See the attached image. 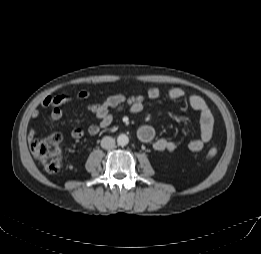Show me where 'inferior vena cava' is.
Returning a JSON list of instances; mask_svg holds the SVG:
<instances>
[{"label": "inferior vena cava", "instance_id": "602c4592", "mask_svg": "<svg viewBox=\"0 0 261 254\" xmlns=\"http://www.w3.org/2000/svg\"><path fill=\"white\" fill-rule=\"evenodd\" d=\"M115 146V139L110 137V136H106L104 138H102L101 140V147L103 149H111Z\"/></svg>", "mask_w": 261, "mask_h": 254}]
</instances>
